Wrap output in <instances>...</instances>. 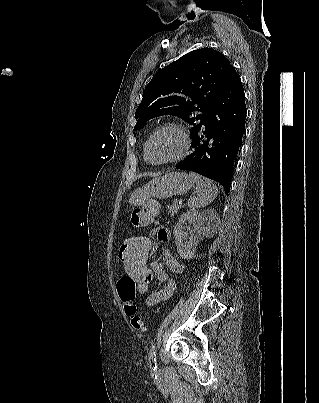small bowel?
Segmentation results:
<instances>
[{"instance_id":"small-bowel-1","label":"small bowel","mask_w":319,"mask_h":403,"mask_svg":"<svg viewBox=\"0 0 319 403\" xmlns=\"http://www.w3.org/2000/svg\"><path fill=\"white\" fill-rule=\"evenodd\" d=\"M155 204L157 205L159 210V205L156 202ZM155 237L159 243L166 244L170 239V234L168 230L164 227H156L152 229L147 236L140 237L148 238L151 255V266L149 267V272H146L144 274V277L146 278L145 283L147 285H150L152 283V274H155L157 276L158 282L161 285L159 290L149 293V296L146 297V304L148 306H155L163 301L168 300L173 295L176 288L175 281L168 275L163 263L158 260L152 259V255L156 251L158 245ZM162 258L166 266L173 273L180 274L184 271V264L181 263L169 251H164L162 254ZM133 287H135V282L133 284ZM133 296H135V294Z\"/></svg>"}]
</instances>
